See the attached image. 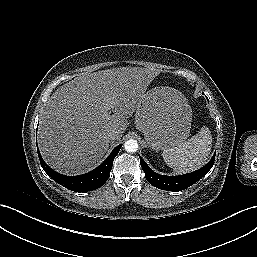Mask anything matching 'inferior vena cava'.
<instances>
[{
	"instance_id": "1",
	"label": "inferior vena cava",
	"mask_w": 257,
	"mask_h": 257,
	"mask_svg": "<svg viewBox=\"0 0 257 257\" xmlns=\"http://www.w3.org/2000/svg\"><path fill=\"white\" fill-rule=\"evenodd\" d=\"M104 136L108 140H115L117 135H116V132L109 131V132L105 133Z\"/></svg>"
}]
</instances>
